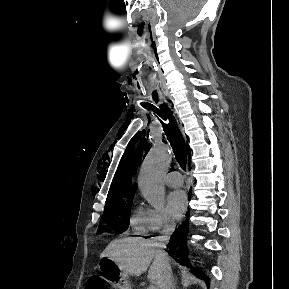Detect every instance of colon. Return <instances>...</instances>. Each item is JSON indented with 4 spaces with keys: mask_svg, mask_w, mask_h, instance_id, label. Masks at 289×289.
<instances>
[{
    "mask_svg": "<svg viewBox=\"0 0 289 289\" xmlns=\"http://www.w3.org/2000/svg\"><path fill=\"white\" fill-rule=\"evenodd\" d=\"M86 289H110V287L102 278L91 277L87 281Z\"/></svg>",
    "mask_w": 289,
    "mask_h": 289,
    "instance_id": "5ec220e1",
    "label": "colon"
}]
</instances>
